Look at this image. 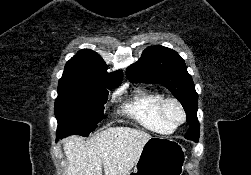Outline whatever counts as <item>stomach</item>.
<instances>
[{
    "label": "stomach",
    "mask_w": 251,
    "mask_h": 175,
    "mask_svg": "<svg viewBox=\"0 0 251 175\" xmlns=\"http://www.w3.org/2000/svg\"><path fill=\"white\" fill-rule=\"evenodd\" d=\"M185 147L167 135H151L128 175H182Z\"/></svg>",
    "instance_id": "stomach-1"
}]
</instances>
